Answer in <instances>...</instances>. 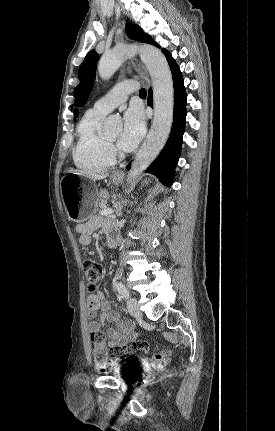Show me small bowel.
Returning a JSON list of instances; mask_svg holds the SVG:
<instances>
[{"label": "small bowel", "mask_w": 275, "mask_h": 431, "mask_svg": "<svg viewBox=\"0 0 275 431\" xmlns=\"http://www.w3.org/2000/svg\"><path fill=\"white\" fill-rule=\"evenodd\" d=\"M101 225L99 219H92L86 223L77 226L79 233V242L82 245L91 243L92 232ZM106 233L110 232L109 226H104ZM101 312L99 320H95L97 313ZM87 316L91 320L89 330H100L105 324H114L115 328H108L106 334L108 337V345L111 348H121L137 338L134 331L133 323L127 320H122L120 314L116 310H112L102 293L92 294L87 298Z\"/></svg>", "instance_id": "obj_1"}]
</instances>
